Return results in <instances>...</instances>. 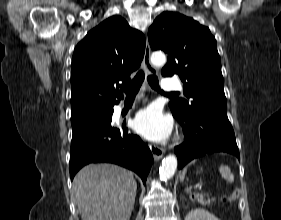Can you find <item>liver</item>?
Listing matches in <instances>:
<instances>
[{"mask_svg": "<svg viewBox=\"0 0 281 220\" xmlns=\"http://www.w3.org/2000/svg\"><path fill=\"white\" fill-rule=\"evenodd\" d=\"M82 220H129L137 184L133 174L113 164H89L73 180Z\"/></svg>", "mask_w": 281, "mask_h": 220, "instance_id": "1", "label": "liver"}]
</instances>
